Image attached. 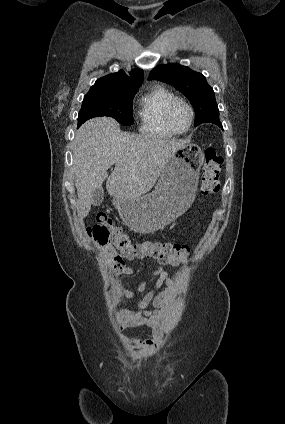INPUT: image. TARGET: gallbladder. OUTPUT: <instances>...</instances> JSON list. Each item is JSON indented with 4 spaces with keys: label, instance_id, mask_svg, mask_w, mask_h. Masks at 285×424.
Instances as JSON below:
<instances>
[{
    "label": "gallbladder",
    "instance_id": "obj_1",
    "mask_svg": "<svg viewBox=\"0 0 285 424\" xmlns=\"http://www.w3.org/2000/svg\"><path fill=\"white\" fill-rule=\"evenodd\" d=\"M103 200H104L103 188L101 186L95 188L92 192V204L94 206H99L102 204Z\"/></svg>",
    "mask_w": 285,
    "mask_h": 424
}]
</instances>
